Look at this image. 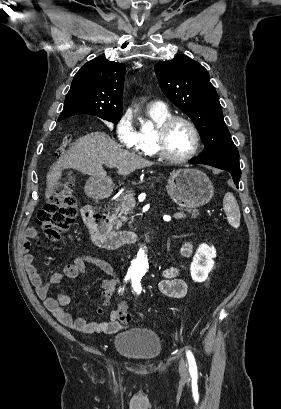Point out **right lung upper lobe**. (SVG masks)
Returning <instances> with one entry per match:
<instances>
[{
	"label": "right lung upper lobe",
	"mask_w": 281,
	"mask_h": 409,
	"mask_svg": "<svg viewBox=\"0 0 281 409\" xmlns=\"http://www.w3.org/2000/svg\"><path fill=\"white\" fill-rule=\"evenodd\" d=\"M123 64L97 57L75 75L58 120L73 115L122 116Z\"/></svg>",
	"instance_id": "right-lung-upper-lobe-1"
}]
</instances>
